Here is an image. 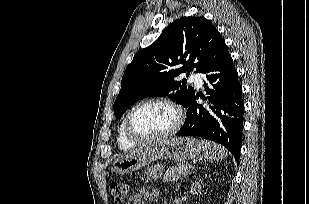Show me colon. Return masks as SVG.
<instances>
[{
  "instance_id": "1",
  "label": "colon",
  "mask_w": 309,
  "mask_h": 204,
  "mask_svg": "<svg viewBox=\"0 0 309 204\" xmlns=\"http://www.w3.org/2000/svg\"><path fill=\"white\" fill-rule=\"evenodd\" d=\"M128 185L123 181H113L110 184V193L116 204H121L126 198Z\"/></svg>"
}]
</instances>
